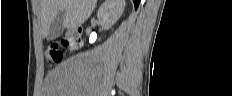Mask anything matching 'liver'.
<instances>
[{"label": "liver", "mask_w": 232, "mask_h": 96, "mask_svg": "<svg viewBox=\"0 0 232 96\" xmlns=\"http://www.w3.org/2000/svg\"><path fill=\"white\" fill-rule=\"evenodd\" d=\"M42 36L47 37L50 25L60 11H65L63 27L77 28L91 15L97 0H41Z\"/></svg>", "instance_id": "obj_1"}]
</instances>
